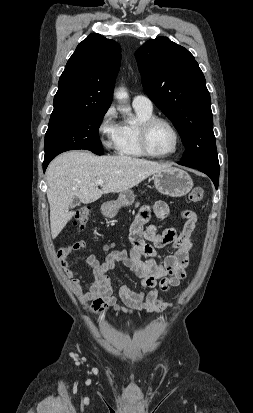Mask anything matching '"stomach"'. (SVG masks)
I'll use <instances>...</instances> for the list:
<instances>
[{
    "label": "stomach",
    "mask_w": 253,
    "mask_h": 413,
    "mask_svg": "<svg viewBox=\"0 0 253 413\" xmlns=\"http://www.w3.org/2000/svg\"><path fill=\"white\" fill-rule=\"evenodd\" d=\"M154 185L163 195L182 197L191 191L193 181L187 172L171 166L154 174ZM134 199L135 195L131 190L121 192L116 201L105 203L102 206V212L105 216L112 218L116 216L121 207L130 206Z\"/></svg>",
    "instance_id": "1"
}]
</instances>
